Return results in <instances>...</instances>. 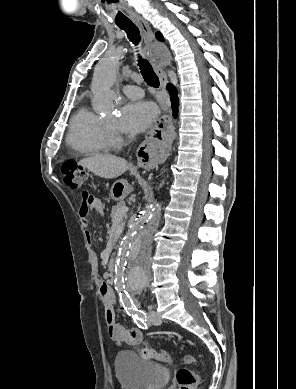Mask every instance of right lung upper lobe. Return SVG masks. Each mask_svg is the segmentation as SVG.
I'll return each mask as SVG.
<instances>
[{
  "instance_id": "cb5924a9",
  "label": "right lung upper lobe",
  "mask_w": 296,
  "mask_h": 389,
  "mask_svg": "<svg viewBox=\"0 0 296 389\" xmlns=\"http://www.w3.org/2000/svg\"><path fill=\"white\" fill-rule=\"evenodd\" d=\"M156 37L158 40L163 41V36L161 35V33L157 32Z\"/></svg>"
}]
</instances>
